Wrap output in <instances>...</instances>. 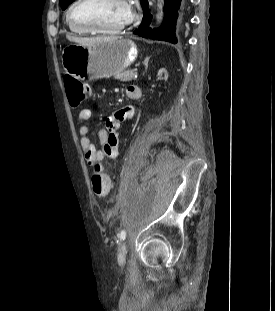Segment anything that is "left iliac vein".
Masks as SVG:
<instances>
[{
    "label": "left iliac vein",
    "instance_id": "1",
    "mask_svg": "<svg viewBox=\"0 0 275 311\" xmlns=\"http://www.w3.org/2000/svg\"><path fill=\"white\" fill-rule=\"evenodd\" d=\"M126 259V243L122 242L119 246H118V250H117V260L119 264H124Z\"/></svg>",
    "mask_w": 275,
    "mask_h": 311
}]
</instances>
